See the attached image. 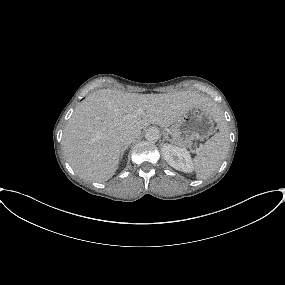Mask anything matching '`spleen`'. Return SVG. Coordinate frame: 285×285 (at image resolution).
I'll return each instance as SVG.
<instances>
[{
  "mask_svg": "<svg viewBox=\"0 0 285 285\" xmlns=\"http://www.w3.org/2000/svg\"><path fill=\"white\" fill-rule=\"evenodd\" d=\"M216 122L219 132L215 133L202 146L193 160V168L197 178L204 179L213 174L220 166L229 149V132L223 114L217 110Z\"/></svg>",
  "mask_w": 285,
  "mask_h": 285,
  "instance_id": "spleen-1",
  "label": "spleen"
}]
</instances>
